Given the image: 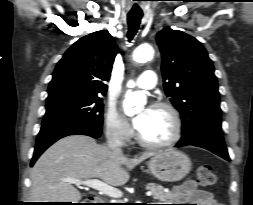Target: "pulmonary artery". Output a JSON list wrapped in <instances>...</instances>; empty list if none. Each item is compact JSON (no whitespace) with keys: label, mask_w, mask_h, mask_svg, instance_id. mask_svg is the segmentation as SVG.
Wrapping results in <instances>:
<instances>
[{"label":"pulmonary artery","mask_w":253,"mask_h":205,"mask_svg":"<svg viewBox=\"0 0 253 205\" xmlns=\"http://www.w3.org/2000/svg\"><path fill=\"white\" fill-rule=\"evenodd\" d=\"M157 83L156 73L152 70L144 71L136 81V86L141 89H152Z\"/></svg>","instance_id":"pulmonary-artery-1"}]
</instances>
